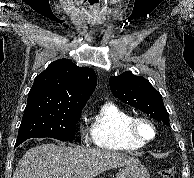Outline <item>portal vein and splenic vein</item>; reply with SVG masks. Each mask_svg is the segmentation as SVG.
<instances>
[{"instance_id":"obj_1","label":"portal vein and splenic vein","mask_w":194,"mask_h":178,"mask_svg":"<svg viewBox=\"0 0 194 178\" xmlns=\"http://www.w3.org/2000/svg\"><path fill=\"white\" fill-rule=\"evenodd\" d=\"M61 178H70V175H67V176H63Z\"/></svg>"}]
</instances>
